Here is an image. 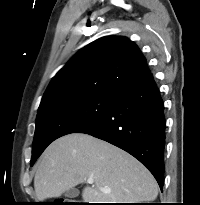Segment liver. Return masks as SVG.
<instances>
[{
    "mask_svg": "<svg viewBox=\"0 0 200 205\" xmlns=\"http://www.w3.org/2000/svg\"><path fill=\"white\" fill-rule=\"evenodd\" d=\"M87 179L94 181L82 192L87 203H137L158 195L155 178L133 156L93 136L71 133L52 142L38 162L37 199L58 197Z\"/></svg>",
    "mask_w": 200,
    "mask_h": 205,
    "instance_id": "liver-1",
    "label": "liver"
}]
</instances>
